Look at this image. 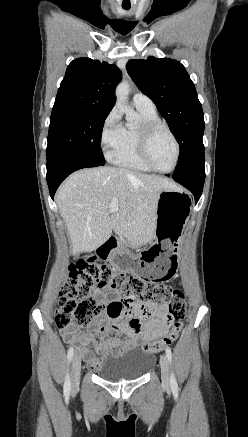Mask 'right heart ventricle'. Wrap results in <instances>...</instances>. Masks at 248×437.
<instances>
[{
    "mask_svg": "<svg viewBox=\"0 0 248 437\" xmlns=\"http://www.w3.org/2000/svg\"><path fill=\"white\" fill-rule=\"evenodd\" d=\"M141 120L138 125L127 124L123 126L122 140L112 156L113 162L123 168L139 171H151L142 161L138 151V128L142 123L159 120L158 114L155 111L138 109Z\"/></svg>",
    "mask_w": 248,
    "mask_h": 437,
    "instance_id": "obj_1",
    "label": "right heart ventricle"
}]
</instances>
